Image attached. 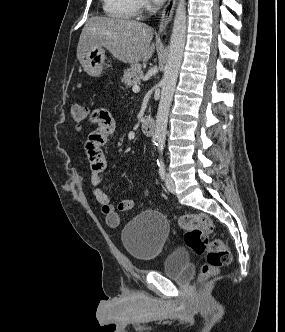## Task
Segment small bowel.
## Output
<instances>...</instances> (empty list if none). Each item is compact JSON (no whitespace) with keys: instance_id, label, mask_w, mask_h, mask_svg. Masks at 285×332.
I'll list each match as a JSON object with an SVG mask.
<instances>
[{"instance_id":"c3829d8e","label":"small bowel","mask_w":285,"mask_h":332,"mask_svg":"<svg viewBox=\"0 0 285 332\" xmlns=\"http://www.w3.org/2000/svg\"><path fill=\"white\" fill-rule=\"evenodd\" d=\"M87 126L96 127L90 132L85 143V149L88 156L91 177L90 181L93 186V194L96 201L101 205V211L105 215L106 223L112 228H116L121 223L120 212L131 210L136 202L134 200H122L117 205L110 202L107 193L102 186V173L106 169V156L103 150L108 137L115 130V120L113 116L105 110V106H94V111H89L84 116ZM148 190L144 191L146 196Z\"/></svg>"}]
</instances>
